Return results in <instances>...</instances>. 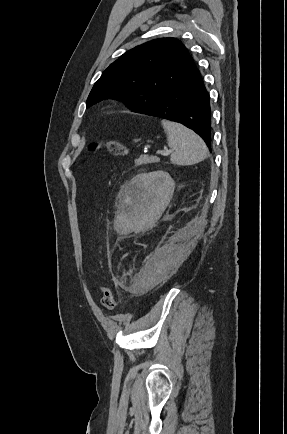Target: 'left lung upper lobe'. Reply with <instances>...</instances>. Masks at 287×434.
<instances>
[{"label": "left lung upper lobe", "mask_w": 287, "mask_h": 434, "mask_svg": "<svg viewBox=\"0 0 287 434\" xmlns=\"http://www.w3.org/2000/svg\"><path fill=\"white\" fill-rule=\"evenodd\" d=\"M195 66L186 47L175 38L146 42L110 64L95 83L86 106L113 98L140 112L155 105Z\"/></svg>", "instance_id": "obj_1"}]
</instances>
